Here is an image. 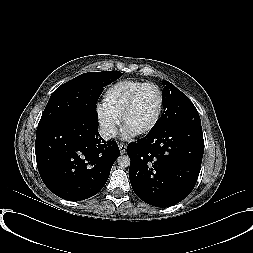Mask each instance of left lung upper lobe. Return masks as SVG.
I'll return each instance as SVG.
<instances>
[{
    "label": "left lung upper lobe",
    "mask_w": 253,
    "mask_h": 253,
    "mask_svg": "<svg viewBox=\"0 0 253 253\" xmlns=\"http://www.w3.org/2000/svg\"><path fill=\"white\" fill-rule=\"evenodd\" d=\"M163 113L150 132H158L177 125H201L197 109L179 89L163 80Z\"/></svg>",
    "instance_id": "1"
}]
</instances>
